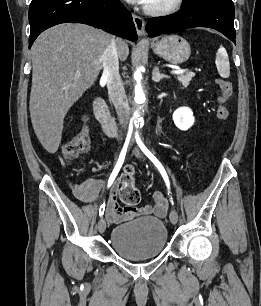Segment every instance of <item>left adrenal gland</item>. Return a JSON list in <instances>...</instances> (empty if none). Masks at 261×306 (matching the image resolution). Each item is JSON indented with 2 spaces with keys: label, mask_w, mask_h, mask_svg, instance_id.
<instances>
[{
  "label": "left adrenal gland",
  "mask_w": 261,
  "mask_h": 306,
  "mask_svg": "<svg viewBox=\"0 0 261 306\" xmlns=\"http://www.w3.org/2000/svg\"><path fill=\"white\" fill-rule=\"evenodd\" d=\"M152 79L154 82H160L162 79H170V77L168 75L161 74L159 69L155 67L153 70Z\"/></svg>",
  "instance_id": "left-adrenal-gland-1"
}]
</instances>
